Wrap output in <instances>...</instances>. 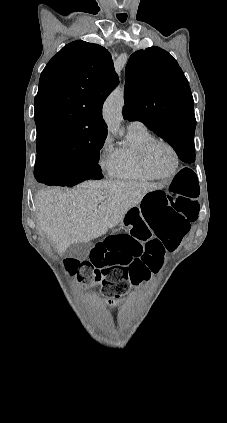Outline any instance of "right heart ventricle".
<instances>
[{
  "label": "right heart ventricle",
  "instance_id": "e07e8e85",
  "mask_svg": "<svg viewBox=\"0 0 227 423\" xmlns=\"http://www.w3.org/2000/svg\"><path fill=\"white\" fill-rule=\"evenodd\" d=\"M127 143L114 150L112 177L122 180L146 181L149 178L139 167L137 152L140 146L151 138L145 127L127 130Z\"/></svg>",
  "mask_w": 227,
  "mask_h": 423
}]
</instances>
